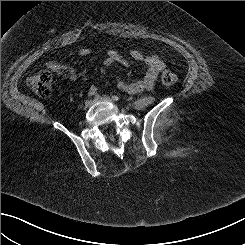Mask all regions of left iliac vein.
Returning <instances> with one entry per match:
<instances>
[{"mask_svg":"<svg viewBox=\"0 0 245 245\" xmlns=\"http://www.w3.org/2000/svg\"><path fill=\"white\" fill-rule=\"evenodd\" d=\"M96 101L113 102V100L107 95L99 96Z\"/></svg>","mask_w":245,"mask_h":245,"instance_id":"obj_1","label":"left iliac vein"}]
</instances>
